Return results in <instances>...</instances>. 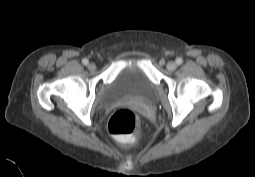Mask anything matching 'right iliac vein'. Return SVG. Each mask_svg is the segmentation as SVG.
Wrapping results in <instances>:
<instances>
[{
	"mask_svg": "<svg viewBox=\"0 0 255 177\" xmlns=\"http://www.w3.org/2000/svg\"><path fill=\"white\" fill-rule=\"evenodd\" d=\"M88 69H89L90 71H94V70L96 69V65H95L94 63H90V64L88 65Z\"/></svg>",
	"mask_w": 255,
	"mask_h": 177,
	"instance_id": "right-iliac-vein-1",
	"label": "right iliac vein"
}]
</instances>
